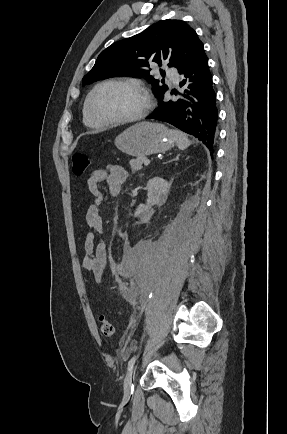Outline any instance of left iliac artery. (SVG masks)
Wrapping results in <instances>:
<instances>
[{"mask_svg":"<svg viewBox=\"0 0 287 434\" xmlns=\"http://www.w3.org/2000/svg\"><path fill=\"white\" fill-rule=\"evenodd\" d=\"M147 306H148V300L144 303V307H147ZM136 360H137V357H136V356H133V357L130 359V361L128 362V367H127L128 371L133 370L134 365H135V363H136Z\"/></svg>","mask_w":287,"mask_h":434,"instance_id":"left-iliac-artery-1","label":"left iliac artery"}]
</instances>
